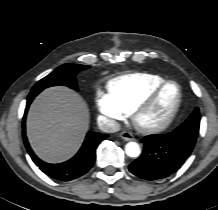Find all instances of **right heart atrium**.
<instances>
[{
  "label": "right heart atrium",
  "mask_w": 218,
  "mask_h": 210,
  "mask_svg": "<svg viewBox=\"0 0 218 210\" xmlns=\"http://www.w3.org/2000/svg\"><path fill=\"white\" fill-rule=\"evenodd\" d=\"M96 104L99 112L109 127H116L118 123L126 117V112L110 93L102 91L98 92Z\"/></svg>",
  "instance_id": "obj_1"
}]
</instances>
